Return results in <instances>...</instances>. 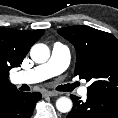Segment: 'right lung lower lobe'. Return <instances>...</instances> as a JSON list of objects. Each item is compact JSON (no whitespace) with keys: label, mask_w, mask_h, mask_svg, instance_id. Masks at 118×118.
<instances>
[{"label":"right lung lower lobe","mask_w":118,"mask_h":118,"mask_svg":"<svg viewBox=\"0 0 118 118\" xmlns=\"http://www.w3.org/2000/svg\"><path fill=\"white\" fill-rule=\"evenodd\" d=\"M41 93L18 90L0 96V118H30Z\"/></svg>","instance_id":"98d812e1"}]
</instances>
